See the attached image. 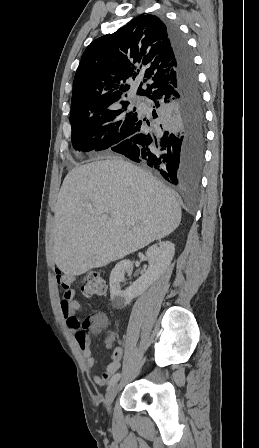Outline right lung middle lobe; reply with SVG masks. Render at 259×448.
<instances>
[{"label":"right lung middle lobe","instance_id":"dd1d6c3e","mask_svg":"<svg viewBox=\"0 0 259 448\" xmlns=\"http://www.w3.org/2000/svg\"><path fill=\"white\" fill-rule=\"evenodd\" d=\"M129 104L98 108L70 114L72 145L79 151L104 150L122 140L125 131L137 120L136 108Z\"/></svg>","mask_w":259,"mask_h":448}]
</instances>
